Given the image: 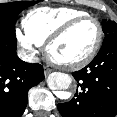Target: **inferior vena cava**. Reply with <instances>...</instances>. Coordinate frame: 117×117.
<instances>
[{
    "label": "inferior vena cava",
    "instance_id": "obj_1",
    "mask_svg": "<svg viewBox=\"0 0 117 117\" xmlns=\"http://www.w3.org/2000/svg\"><path fill=\"white\" fill-rule=\"evenodd\" d=\"M18 56L20 59L24 60V61H28V62H36L38 60V58L32 56L30 53H28L25 50H20L18 51Z\"/></svg>",
    "mask_w": 117,
    "mask_h": 117
}]
</instances>
